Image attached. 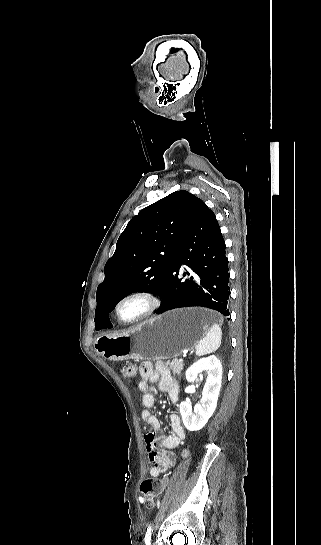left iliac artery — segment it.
Segmentation results:
<instances>
[{
    "mask_svg": "<svg viewBox=\"0 0 321 545\" xmlns=\"http://www.w3.org/2000/svg\"><path fill=\"white\" fill-rule=\"evenodd\" d=\"M151 531H152V529H151V527H149L147 529L146 534H145V544L146 545H151V534H152Z\"/></svg>",
    "mask_w": 321,
    "mask_h": 545,
    "instance_id": "1",
    "label": "left iliac artery"
}]
</instances>
